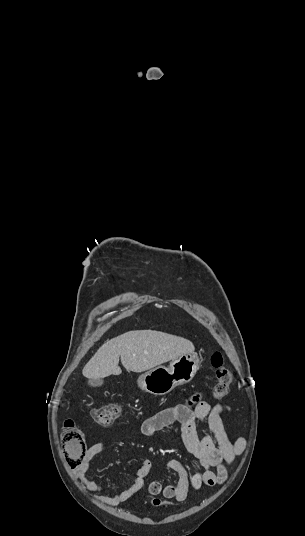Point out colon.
<instances>
[{
  "instance_id": "5ec220e1",
  "label": "colon",
  "mask_w": 305,
  "mask_h": 536,
  "mask_svg": "<svg viewBox=\"0 0 305 536\" xmlns=\"http://www.w3.org/2000/svg\"><path fill=\"white\" fill-rule=\"evenodd\" d=\"M211 364L215 370V386L214 392L217 399L224 398L229 390L232 382V374L229 367L225 363L223 354L220 351H214L210 357ZM120 410L117 404H98L91 407V417L97 423L108 425L119 416ZM62 442L65 445L63 459L65 461L66 471H79L80 462L85 459L83 450L86 448V441L81 430L77 427L73 420L64 422V432L62 434ZM172 506L174 499L167 497L165 502L160 497L153 496L149 499V504L153 508H161L163 504ZM178 506V503H175Z\"/></svg>"
}]
</instances>
